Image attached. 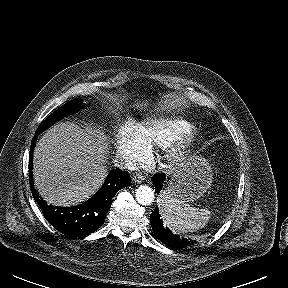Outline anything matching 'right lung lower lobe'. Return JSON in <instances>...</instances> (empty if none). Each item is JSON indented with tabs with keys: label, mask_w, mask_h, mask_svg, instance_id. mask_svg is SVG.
I'll return each mask as SVG.
<instances>
[{
	"label": "right lung lower lobe",
	"mask_w": 288,
	"mask_h": 288,
	"mask_svg": "<svg viewBox=\"0 0 288 288\" xmlns=\"http://www.w3.org/2000/svg\"><path fill=\"white\" fill-rule=\"evenodd\" d=\"M38 131L31 141L29 154V180L32 195L39 204L44 217L59 232L69 237H83L98 230L105 222L115 194L131 185L127 171L112 170L100 190L86 202L73 207L47 205L37 194L32 178V157Z\"/></svg>",
	"instance_id": "obj_1"
}]
</instances>
